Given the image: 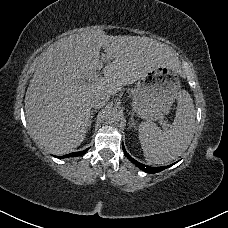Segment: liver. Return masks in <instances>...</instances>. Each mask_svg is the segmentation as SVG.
I'll list each match as a JSON object with an SVG mask.
<instances>
[{
    "instance_id": "obj_1",
    "label": "liver",
    "mask_w": 228,
    "mask_h": 228,
    "mask_svg": "<svg viewBox=\"0 0 228 228\" xmlns=\"http://www.w3.org/2000/svg\"><path fill=\"white\" fill-rule=\"evenodd\" d=\"M107 58L105 77L100 52ZM181 72L172 47L148 37L92 30L58 42L43 55L25 94L27 126L34 142L63 155L85 140L91 122L90 94L115 96L151 70Z\"/></svg>"
}]
</instances>
